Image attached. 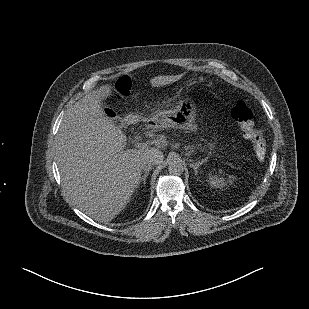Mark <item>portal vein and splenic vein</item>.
<instances>
[{
    "label": "portal vein and splenic vein",
    "mask_w": 309,
    "mask_h": 309,
    "mask_svg": "<svg viewBox=\"0 0 309 309\" xmlns=\"http://www.w3.org/2000/svg\"><path fill=\"white\" fill-rule=\"evenodd\" d=\"M155 142L154 141H152V142H137L136 144H135V146H136V148H138V149H146V148H148L149 147V145H153Z\"/></svg>",
    "instance_id": "portal-vein-and-splenic-vein-1"
}]
</instances>
